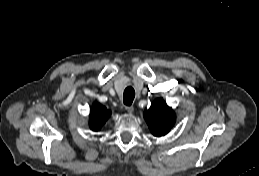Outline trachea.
<instances>
[{"label":"trachea","mask_w":259,"mask_h":176,"mask_svg":"<svg viewBox=\"0 0 259 176\" xmlns=\"http://www.w3.org/2000/svg\"><path fill=\"white\" fill-rule=\"evenodd\" d=\"M135 97V90L132 87H127L124 90L123 102L125 105L130 106Z\"/></svg>","instance_id":"3493384b"}]
</instances>
